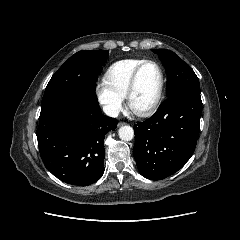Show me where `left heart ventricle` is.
<instances>
[{
  "label": "left heart ventricle",
  "instance_id": "1",
  "mask_svg": "<svg viewBox=\"0 0 240 240\" xmlns=\"http://www.w3.org/2000/svg\"><path fill=\"white\" fill-rule=\"evenodd\" d=\"M159 85V73L153 64H147L141 70L136 90L132 97V105L136 109L147 107L153 100Z\"/></svg>",
  "mask_w": 240,
  "mask_h": 240
}]
</instances>
